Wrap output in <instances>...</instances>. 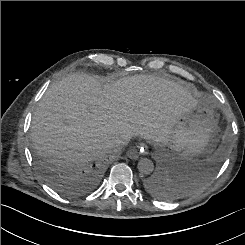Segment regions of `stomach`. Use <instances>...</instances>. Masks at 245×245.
<instances>
[{"label":"stomach","mask_w":245,"mask_h":245,"mask_svg":"<svg viewBox=\"0 0 245 245\" xmlns=\"http://www.w3.org/2000/svg\"><path fill=\"white\" fill-rule=\"evenodd\" d=\"M218 131L215 102L201 98L194 108L177 120L168 135L167 145L183 157H193L212 147Z\"/></svg>","instance_id":"obj_1"}]
</instances>
